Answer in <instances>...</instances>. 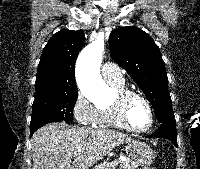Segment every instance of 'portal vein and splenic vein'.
<instances>
[{
	"mask_svg": "<svg viewBox=\"0 0 200 169\" xmlns=\"http://www.w3.org/2000/svg\"><path fill=\"white\" fill-rule=\"evenodd\" d=\"M110 165H111L112 167H115V166H117V165H118V162H116V161H114V162H111V163H110Z\"/></svg>",
	"mask_w": 200,
	"mask_h": 169,
	"instance_id": "18ae733b",
	"label": "portal vein and splenic vein"
}]
</instances>
